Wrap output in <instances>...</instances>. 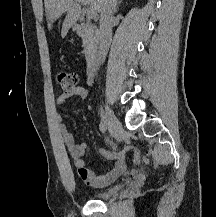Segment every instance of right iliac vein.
I'll return each mask as SVG.
<instances>
[{"mask_svg": "<svg viewBox=\"0 0 216 217\" xmlns=\"http://www.w3.org/2000/svg\"><path fill=\"white\" fill-rule=\"evenodd\" d=\"M105 115H106V120H107L110 134L112 137L115 138L120 134L122 125L120 121L117 119V117L115 116L113 110L108 105H106L105 107Z\"/></svg>", "mask_w": 216, "mask_h": 217, "instance_id": "obj_1", "label": "right iliac vein"}]
</instances>
